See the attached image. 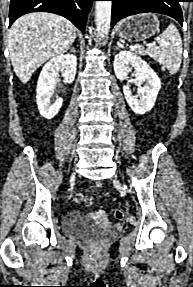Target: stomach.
I'll use <instances>...</instances> for the list:
<instances>
[{
  "mask_svg": "<svg viewBox=\"0 0 193 287\" xmlns=\"http://www.w3.org/2000/svg\"><path fill=\"white\" fill-rule=\"evenodd\" d=\"M159 30V20L151 13L134 15L117 26V35L131 42H140L153 36Z\"/></svg>",
  "mask_w": 193,
  "mask_h": 287,
  "instance_id": "0dacf381",
  "label": "stomach"
}]
</instances>
